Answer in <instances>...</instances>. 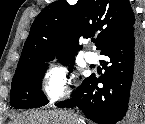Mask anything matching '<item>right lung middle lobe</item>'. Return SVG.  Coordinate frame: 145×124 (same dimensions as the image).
Listing matches in <instances>:
<instances>
[{"mask_svg":"<svg viewBox=\"0 0 145 124\" xmlns=\"http://www.w3.org/2000/svg\"><path fill=\"white\" fill-rule=\"evenodd\" d=\"M62 63L73 66L74 57L59 58ZM53 59L43 60L15 75L12 80L10 99L17 109L44 106L48 103L41 89V80L47 63Z\"/></svg>","mask_w":145,"mask_h":124,"instance_id":"1","label":"right lung middle lobe"}]
</instances>
